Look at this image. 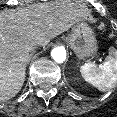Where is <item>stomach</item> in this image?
<instances>
[{"label":"stomach","instance_id":"stomach-1","mask_svg":"<svg viewBox=\"0 0 117 117\" xmlns=\"http://www.w3.org/2000/svg\"><path fill=\"white\" fill-rule=\"evenodd\" d=\"M67 44L80 58L92 56L97 51V40L86 23H77L66 38Z\"/></svg>","mask_w":117,"mask_h":117}]
</instances>
